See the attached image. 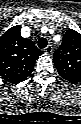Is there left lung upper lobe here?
Wrapping results in <instances>:
<instances>
[{"instance_id": "1", "label": "left lung upper lobe", "mask_w": 81, "mask_h": 124, "mask_svg": "<svg viewBox=\"0 0 81 124\" xmlns=\"http://www.w3.org/2000/svg\"><path fill=\"white\" fill-rule=\"evenodd\" d=\"M53 62L63 79L81 82V34L73 29L65 32L61 46L53 54Z\"/></svg>"}]
</instances>
